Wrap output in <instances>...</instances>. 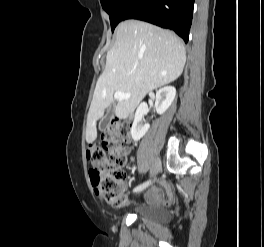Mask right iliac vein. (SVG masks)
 Instances as JSON below:
<instances>
[{
	"mask_svg": "<svg viewBox=\"0 0 264 247\" xmlns=\"http://www.w3.org/2000/svg\"><path fill=\"white\" fill-rule=\"evenodd\" d=\"M159 169H160V160L157 159V160H155V162L153 163V166L151 168V175L155 176L158 173Z\"/></svg>",
	"mask_w": 264,
	"mask_h": 247,
	"instance_id": "right-iliac-vein-1",
	"label": "right iliac vein"
}]
</instances>
